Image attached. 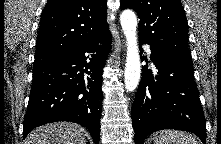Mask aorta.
<instances>
[{
	"instance_id": "1",
	"label": "aorta",
	"mask_w": 221,
	"mask_h": 144,
	"mask_svg": "<svg viewBox=\"0 0 221 144\" xmlns=\"http://www.w3.org/2000/svg\"><path fill=\"white\" fill-rule=\"evenodd\" d=\"M122 30L127 42V56L124 82L127 91H134L139 84L141 75L140 55L137 45V19L131 10H125L120 16Z\"/></svg>"
}]
</instances>
